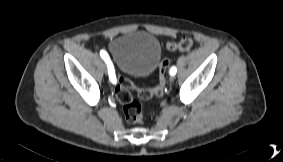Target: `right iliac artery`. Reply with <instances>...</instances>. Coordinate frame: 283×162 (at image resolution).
Here are the masks:
<instances>
[{
  "instance_id": "1",
  "label": "right iliac artery",
  "mask_w": 283,
  "mask_h": 162,
  "mask_svg": "<svg viewBox=\"0 0 283 162\" xmlns=\"http://www.w3.org/2000/svg\"><path fill=\"white\" fill-rule=\"evenodd\" d=\"M100 56L107 63L109 78H110L111 82L115 83L116 82L115 71H114V67H113V65H112V63L110 61L109 55L107 54L106 51L101 50L100 51Z\"/></svg>"
}]
</instances>
